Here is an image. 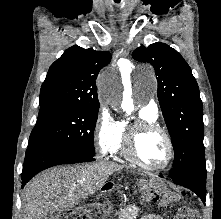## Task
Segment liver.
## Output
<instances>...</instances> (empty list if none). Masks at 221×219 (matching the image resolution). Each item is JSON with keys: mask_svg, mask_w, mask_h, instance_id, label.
I'll use <instances>...</instances> for the list:
<instances>
[{"mask_svg": "<svg viewBox=\"0 0 221 219\" xmlns=\"http://www.w3.org/2000/svg\"><path fill=\"white\" fill-rule=\"evenodd\" d=\"M122 168L100 161L52 168L36 175L22 194V219H44L48 214L73 208L100 190L109 176Z\"/></svg>", "mask_w": 221, "mask_h": 219, "instance_id": "1", "label": "liver"}]
</instances>
